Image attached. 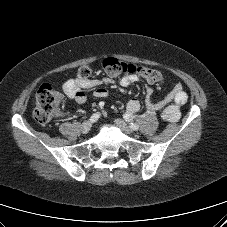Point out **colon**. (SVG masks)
<instances>
[{
    "instance_id": "1",
    "label": "colon",
    "mask_w": 227,
    "mask_h": 227,
    "mask_svg": "<svg viewBox=\"0 0 227 227\" xmlns=\"http://www.w3.org/2000/svg\"><path fill=\"white\" fill-rule=\"evenodd\" d=\"M103 69L111 77L121 74H138L151 83H160L164 80L162 73L158 70L145 66H136L112 57L103 61ZM91 73L90 66H81L76 72V79H87ZM63 100L64 97L58 90L49 84H43L36 94L33 109L35 120L41 124L50 122L58 114Z\"/></svg>"
}]
</instances>
